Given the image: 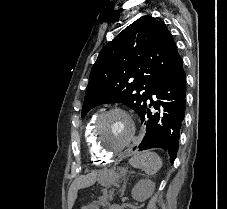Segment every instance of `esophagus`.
Segmentation results:
<instances>
[{
  "label": "esophagus",
  "instance_id": "1",
  "mask_svg": "<svg viewBox=\"0 0 227 209\" xmlns=\"http://www.w3.org/2000/svg\"><path fill=\"white\" fill-rule=\"evenodd\" d=\"M149 128V125L148 124H143L142 125V128L140 129V134H139V137L140 138H137L136 139V143L135 144H131L130 145V148L131 149H136L137 146L143 142V139L142 138H145L146 137V132H147V129ZM131 149H126L125 152H122L121 155H120V158H123V157H127L128 154H131L132 153V150ZM114 166H117V163H114Z\"/></svg>",
  "mask_w": 227,
  "mask_h": 209
}]
</instances>
